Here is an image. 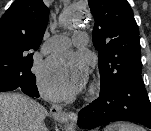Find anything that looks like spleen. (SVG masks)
<instances>
[{"label":"spleen","mask_w":151,"mask_h":131,"mask_svg":"<svg viewBox=\"0 0 151 131\" xmlns=\"http://www.w3.org/2000/svg\"><path fill=\"white\" fill-rule=\"evenodd\" d=\"M104 131H144L141 127L128 123H115L106 126Z\"/></svg>","instance_id":"3e777b00"}]
</instances>
